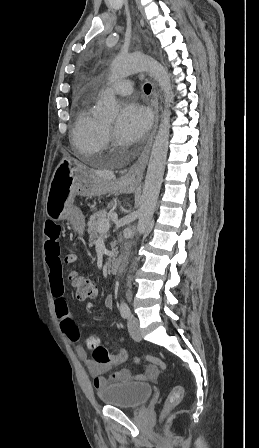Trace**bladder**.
I'll return each mask as SVG.
<instances>
[{
	"mask_svg": "<svg viewBox=\"0 0 259 448\" xmlns=\"http://www.w3.org/2000/svg\"><path fill=\"white\" fill-rule=\"evenodd\" d=\"M153 391V386L149 383H117L101 389L98 398L105 405L137 408L148 401Z\"/></svg>",
	"mask_w": 259,
	"mask_h": 448,
	"instance_id": "bladder-1",
	"label": "bladder"
}]
</instances>
